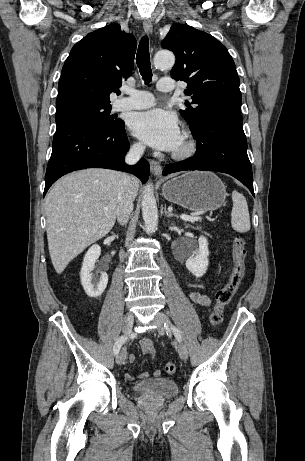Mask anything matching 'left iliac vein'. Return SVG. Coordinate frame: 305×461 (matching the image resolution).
<instances>
[{
	"instance_id": "obj_1",
	"label": "left iliac vein",
	"mask_w": 305,
	"mask_h": 461,
	"mask_svg": "<svg viewBox=\"0 0 305 461\" xmlns=\"http://www.w3.org/2000/svg\"><path fill=\"white\" fill-rule=\"evenodd\" d=\"M169 322V318L161 312H158L155 315L153 324L156 325L158 333L160 335H164L166 331V327L164 326L165 323ZM178 352L181 357V359L186 360L188 358V350L187 347L183 343L178 344Z\"/></svg>"
}]
</instances>
